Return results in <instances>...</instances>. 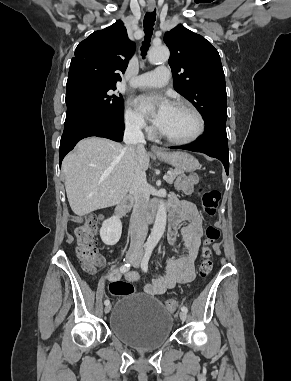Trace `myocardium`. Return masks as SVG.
Instances as JSON below:
<instances>
[{
	"label": "myocardium",
	"mask_w": 291,
	"mask_h": 381,
	"mask_svg": "<svg viewBox=\"0 0 291 381\" xmlns=\"http://www.w3.org/2000/svg\"><path fill=\"white\" fill-rule=\"evenodd\" d=\"M175 107L186 108V109H189L191 112L194 113V115L197 117V120H198L197 130L195 131V133L193 135H191L190 137H187V138H174V137H171V136L164 134L160 130L159 131L160 137H162L163 139L167 140L170 143L180 144V145L190 144V143L197 141L203 135V133L205 131V127H206V122H205V118H204L203 114L194 104H192L191 102H188V101H179L175 104Z\"/></svg>",
	"instance_id": "f54148a6"
}]
</instances>
